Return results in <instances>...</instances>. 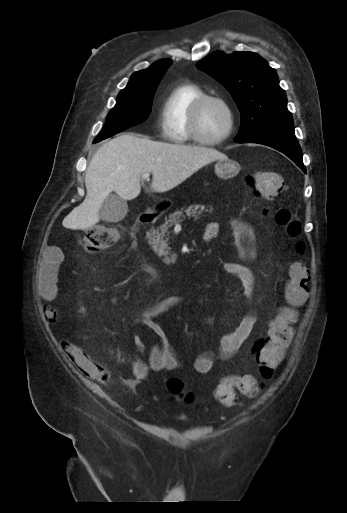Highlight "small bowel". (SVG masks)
Here are the masks:
<instances>
[{"instance_id": "1", "label": "small bowel", "mask_w": 347, "mask_h": 513, "mask_svg": "<svg viewBox=\"0 0 347 513\" xmlns=\"http://www.w3.org/2000/svg\"><path fill=\"white\" fill-rule=\"evenodd\" d=\"M231 227L235 237L250 244V250L247 253L248 259L250 261L256 260L259 252L256 248L252 226L244 220L235 218L231 220ZM219 232L220 226L217 222H209L205 226L206 239L216 238ZM60 262V252L55 248L48 254L39 268L37 288L41 297L48 303L55 301L58 297L57 274ZM225 270L239 280L244 291L247 292V296L250 298L254 292L256 282L249 266L229 262L225 264ZM184 302L185 297L182 295L167 297L135 319V321L143 323L159 338V344L150 348L147 361L141 359L139 355H128L118 348H110L108 350V354L116 362L129 367L131 370L133 376L126 381L127 386H136L147 376L149 371H175L180 368V362L174 347L165 329L156 321V318L182 305ZM77 311L84 314L87 312V307L83 303H79ZM57 315V310L54 307H46L45 317L49 322L55 321ZM256 321V313L253 309H250L231 332L221 337L218 351L205 350L195 356L193 360L194 370L197 373L205 374L212 370L217 358L223 360L232 358L248 341ZM133 343L138 354L145 351L146 346L142 336L134 337ZM62 346L67 355L75 361L77 367L83 373L86 372V375L88 374L89 377L95 379L103 377L100 366L89 361L76 346L68 342H63ZM253 348H258V343Z\"/></svg>"}]
</instances>
